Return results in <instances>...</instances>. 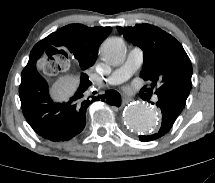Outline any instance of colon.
Listing matches in <instances>:
<instances>
[{
    "mask_svg": "<svg viewBox=\"0 0 215 183\" xmlns=\"http://www.w3.org/2000/svg\"><path fill=\"white\" fill-rule=\"evenodd\" d=\"M61 61H63L61 56L49 60L48 65L50 67V71H54L55 69L59 68Z\"/></svg>",
    "mask_w": 215,
    "mask_h": 183,
    "instance_id": "5ec220e1",
    "label": "colon"
}]
</instances>
